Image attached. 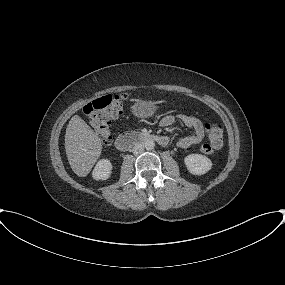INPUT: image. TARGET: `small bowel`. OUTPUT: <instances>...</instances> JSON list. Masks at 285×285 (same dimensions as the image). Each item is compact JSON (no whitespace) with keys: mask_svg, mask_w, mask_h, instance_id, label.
Masks as SVG:
<instances>
[{"mask_svg":"<svg viewBox=\"0 0 285 285\" xmlns=\"http://www.w3.org/2000/svg\"><path fill=\"white\" fill-rule=\"evenodd\" d=\"M177 120L182 122L190 130H192L191 135H188V136H185L179 139V141L177 142V145L180 148L185 149L190 146L199 144L204 140L206 132H207L206 127L200 119H198L197 117L193 115L186 114V113H177L175 115H167L161 119L160 124L162 126L167 127V126L172 125Z\"/></svg>","mask_w":285,"mask_h":285,"instance_id":"c3829d8e","label":"small bowel"}]
</instances>
